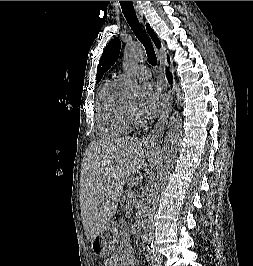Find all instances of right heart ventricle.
<instances>
[{
  "instance_id": "right-heart-ventricle-1",
  "label": "right heart ventricle",
  "mask_w": 253,
  "mask_h": 266,
  "mask_svg": "<svg viewBox=\"0 0 253 266\" xmlns=\"http://www.w3.org/2000/svg\"><path fill=\"white\" fill-rule=\"evenodd\" d=\"M136 124L122 97V83L108 80L102 87L96 104V126L100 136L119 137L132 131Z\"/></svg>"
}]
</instances>
